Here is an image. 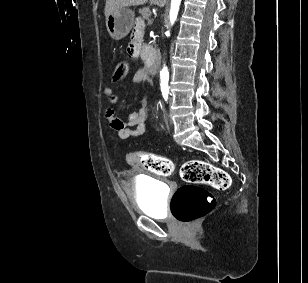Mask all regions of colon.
I'll list each match as a JSON object with an SVG mask.
<instances>
[{"instance_id":"1","label":"colon","mask_w":308,"mask_h":283,"mask_svg":"<svg viewBox=\"0 0 308 283\" xmlns=\"http://www.w3.org/2000/svg\"><path fill=\"white\" fill-rule=\"evenodd\" d=\"M129 64L125 60L118 61L113 69V79L125 78ZM130 164L161 176H170L174 172V164L167 157L148 152H135L127 156ZM180 177L184 184L177 188L171 209L174 217L182 223L196 221L215 207L213 195L201 185H209L216 189H227L230 176L222 169L203 160H188L180 168Z\"/></svg>"}]
</instances>
